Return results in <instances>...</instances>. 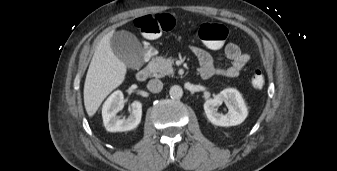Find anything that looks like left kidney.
<instances>
[{
	"instance_id": "obj_1",
	"label": "left kidney",
	"mask_w": 337,
	"mask_h": 171,
	"mask_svg": "<svg viewBox=\"0 0 337 171\" xmlns=\"http://www.w3.org/2000/svg\"><path fill=\"white\" fill-rule=\"evenodd\" d=\"M226 100L229 112L225 115L219 113L216 106ZM204 110L209 121L217 126H235L241 124L248 115L245 102L238 90L227 88L217 94L214 98L204 103Z\"/></svg>"
}]
</instances>
